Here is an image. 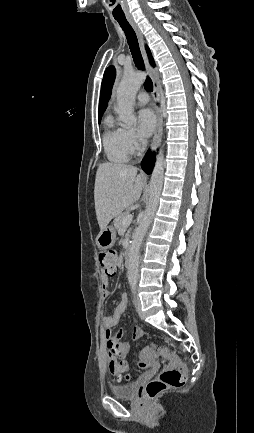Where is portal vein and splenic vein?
<instances>
[{
  "label": "portal vein and splenic vein",
  "mask_w": 254,
  "mask_h": 433,
  "mask_svg": "<svg viewBox=\"0 0 254 433\" xmlns=\"http://www.w3.org/2000/svg\"><path fill=\"white\" fill-rule=\"evenodd\" d=\"M132 218H133L132 214H128L127 216H125L123 219V225L130 224L132 221Z\"/></svg>",
  "instance_id": "obj_1"
}]
</instances>
